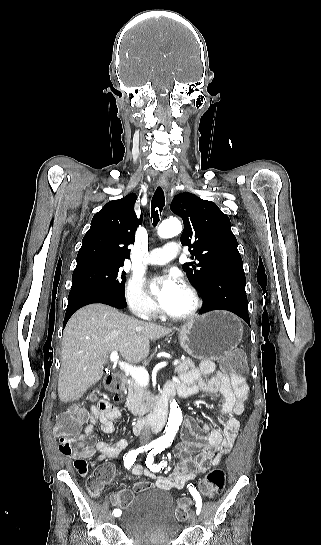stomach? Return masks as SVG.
Returning <instances> with one entry per match:
<instances>
[{
  "instance_id": "obj_1",
  "label": "stomach",
  "mask_w": 321,
  "mask_h": 545,
  "mask_svg": "<svg viewBox=\"0 0 321 545\" xmlns=\"http://www.w3.org/2000/svg\"><path fill=\"white\" fill-rule=\"evenodd\" d=\"M177 331L182 349L195 359H222L243 337L240 319L227 311L197 315Z\"/></svg>"
}]
</instances>
